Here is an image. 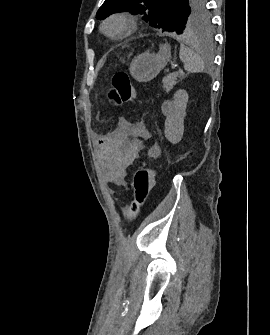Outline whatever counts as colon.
I'll return each instance as SVG.
<instances>
[{
    "instance_id": "1",
    "label": "colon",
    "mask_w": 270,
    "mask_h": 335,
    "mask_svg": "<svg viewBox=\"0 0 270 335\" xmlns=\"http://www.w3.org/2000/svg\"><path fill=\"white\" fill-rule=\"evenodd\" d=\"M114 89V99L119 103H128L134 99L135 89L125 71L116 72L111 80ZM133 202L128 210V217L138 215L140 208L146 204L155 185V174L150 167L142 166L136 169L133 176Z\"/></svg>"
}]
</instances>
